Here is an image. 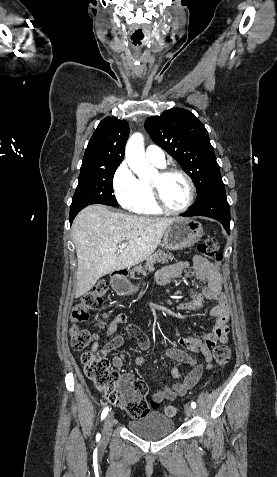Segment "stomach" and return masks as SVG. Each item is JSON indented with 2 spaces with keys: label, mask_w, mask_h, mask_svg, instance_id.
Wrapping results in <instances>:
<instances>
[{
  "label": "stomach",
  "mask_w": 277,
  "mask_h": 477,
  "mask_svg": "<svg viewBox=\"0 0 277 477\" xmlns=\"http://www.w3.org/2000/svg\"><path fill=\"white\" fill-rule=\"evenodd\" d=\"M203 235L201 223L189 218H175L167 227L163 246L168 250H182L196 244ZM112 287L122 295H131L138 290L126 278L112 280Z\"/></svg>",
  "instance_id": "obj_1"
}]
</instances>
